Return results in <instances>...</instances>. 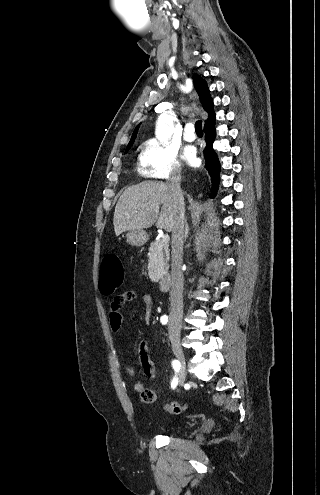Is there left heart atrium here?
Listing matches in <instances>:
<instances>
[{"label":"left heart atrium","instance_id":"1","mask_svg":"<svg viewBox=\"0 0 320 495\" xmlns=\"http://www.w3.org/2000/svg\"><path fill=\"white\" fill-rule=\"evenodd\" d=\"M183 158L189 164H195L196 163V152H195V150L193 148H187L184 151V153H183Z\"/></svg>","mask_w":320,"mask_h":495}]
</instances>
